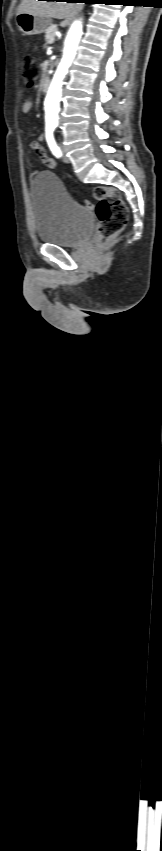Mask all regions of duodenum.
Segmentation results:
<instances>
[{
    "label": "duodenum",
    "mask_w": 162,
    "mask_h": 851,
    "mask_svg": "<svg viewBox=\"0 0 162 851\" xmlns=\"http://www.w3.org/2000/svg\"><path fill=\"white\" fill-rule=\"evenodd\" d=\"M40 86L43 92L48 91L50 86V78L48 76L43 77Z\"/></svg>",
    "instance_id": "410a0bca"
}]
</instances>
